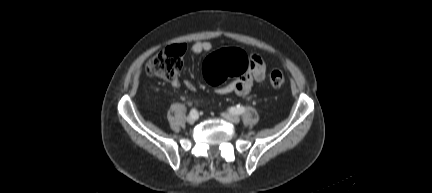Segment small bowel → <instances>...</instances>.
<instances>
[{"label": "small bowel", "mask_w": 432, "mask_h": 193, "mask_svg": "<svg viewBox=\"0 0 432 193\" xmlns=\"http://www.w3.org/2000/svg\"><path fill=\"white\" fill-rule=\"evenodd\" d=\"M213 45L209 41H197L191 46V51L194 54H201L211 51ZM251 67L243 75L237 77L232 82L219 86L217 92L219 94L234 93L239 96L249 94L254 82H262L266 77V65L258 55H250ZM175 87L179 86V82H173ZM185 85L189 89H194L195 85L192 81L186 80Z\"/></svg>", "instance_id": "c3829d8e"}]
</instances>
